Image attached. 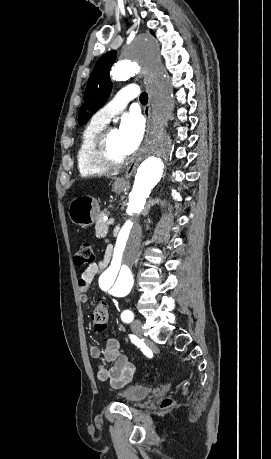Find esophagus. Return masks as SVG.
I'll return each mask as SVG.
<instances>
[{
	"mask_svg": "<svg viewBox=\"0 0 271 459\" xmlns=\"http://www.w3.org/2000/svg\"><path fill=\"white\" fill-rule=\"evenodd\" d=\"M144 84L146 86V89H147V93L149 95V100H148V103L147 105H145V107L143 108V113H144V116L146 118V121H147V126H148V130H147V135H146V138L144 140V144L148 141V135H149V129H150V120H151V92H150V89H149V85H148V81L147 79L145 78L144 79ZM143 158V148L139 149L138 153L136 154L134 160L130 163V165L127 167L126 171H125V174L123 177H119L115 180L114 184L115 185H125L127 180L131 177V175L133 174V172L135 171V169L137 168V166L139 165V163L141 162Z\"/></svg>",
	"mask_w": 271,
	"mask_h": 459,
	"instance_id": "esophagus-1",
	"label": "esophagus"
}]
</instances>
